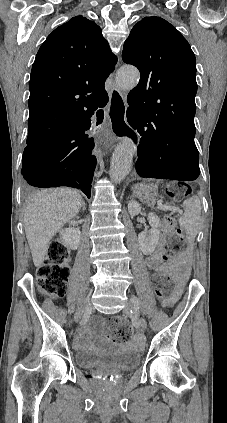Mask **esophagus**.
Instances as JSON below:
<instances>
[{
	"label": "esophagus",
	"mask_w": 227,
	"mask_h": 423,
	"mask_svg": "<svg viewBox=\"0 0 227 423\" xmlns=\"http://www.w3.org/2000/svg\"><path fill=\"white\" fill-rule=\"evenodd\" d=\"M126 110L127 104L124 95L121 90L114 85L109 92L107 118L109 119L111 117L109 123L115 135L118 136V140L122 142H132L133 151L136 155L139 137L135 135V130L132 129V125L129 123L125 124L124 122V120L126 121Z\"/></svg>",
	"instance_id": "34e87169"
}]
</instances>
